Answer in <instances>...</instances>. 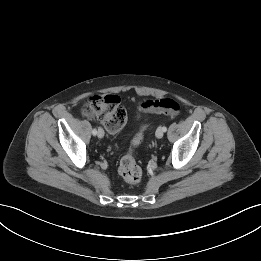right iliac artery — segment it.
I'll return each instance as SVG.
<instances>
[{"label":"right iliac artery","mask_w":261,"mask_h":261,"mask_svg":"<svg viewBox=\"0 0 261 261\" xmlns=\"http://www.w3.org/2000/svg\"><path fill=\"white\" fill-rule=\"evenodd\" d=\"M92 134H93L94 136L97 134V130H96L95 128L92 130Z\"/></svg>","instance_id":"82829eb1"}]
</instances>
